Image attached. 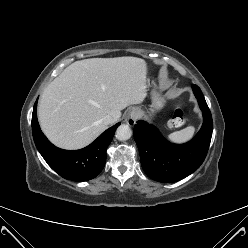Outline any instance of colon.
<instances>
[{
    "label": "colon",
    "mask_w": 248,
    "mask_h": 248,
    "mask_svg": "<svg viewBox=\"0 0 248 248\" xmlns=\"http://www.w3.org/2000/svg\"><path fill=\"white\" fill-rule=\"evenodd\" d=\"M187 120V114L182 109H177L174 111L172 118L169 121V124L173 127L180 126L184 124Z\"/></svg>",
    "instance_id": "obj_1"
}]
</instances>
